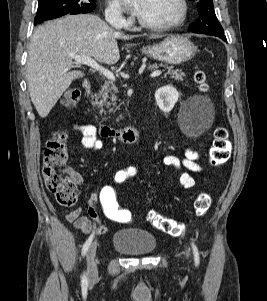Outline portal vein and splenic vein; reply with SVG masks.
<instances>
[{
	"mask_svg": "<svg viewBox=\"0 0 267 301\" xmlns=\"http://www.w3.org/2000/svg\"><path fill=\"white\" fill-rule=\"evenodd\" d=\"M70 56L75 60L76 63L88 65L91 68L96 69L97 71H99L100 73H102L107 79H109L111 81H115L114 74L111 71H109L108 69L100 66L91 57L80 56V55H76L74 53H70ZM161 73H162L161 70H155V71L151 72L150 77H158L159 75H161Z\"/></svg>",
	"mask_w": 267,
	"mask_h": 301,
	"instance_id": "obj_1",
	"label": "portal vein and splenic vein"
}]
</instances>
